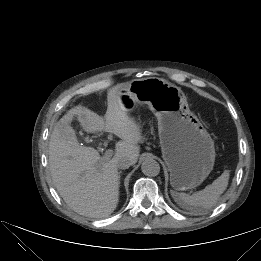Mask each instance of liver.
<instances>
[{"label":"liver","instance_id":"liver-1","mask_svg":"<svg viewBox=\"0 0 261 261\" xmlns=\"http://www.w3.org/2000/svg\"><path fill=\"white\" fill-rule=\"evenodd\" d=\"M129 83L107 92L104 118L81 104L72 107L57 122L49 142V168L52 181L68 206L80 215L102 218L116 209L119 201L117 161L128 157L138 160L142 140L141 126L130 117L119 92ZM88 133H113L122 140L116 143L111 159H102L97 150L79 144L69 135L74 118Z\"/></svg>","mask_w":261,"mask_h":261}]
</instances>
